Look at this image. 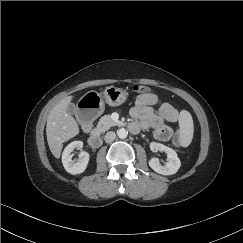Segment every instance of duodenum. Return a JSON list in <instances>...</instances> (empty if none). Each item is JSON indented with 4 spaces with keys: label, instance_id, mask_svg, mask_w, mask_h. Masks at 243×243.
Here are the masks:
<instances>
[{
    "label": "duodenum",
    "instance_id": "1",
    "mask_svg": "<svg viewBox=\"0 0 243 243\" xmlns=\"http://www.w3.org/2000/svg\"><path fill=\"white\" fill-rule=\"evenodd\" d=\"M102 144V138L99 133L93 132L89 137V145L93 148H97Z\"/></svg>",
    "mask_w": 243,
    "mask_h": 243
}]
</instances>
